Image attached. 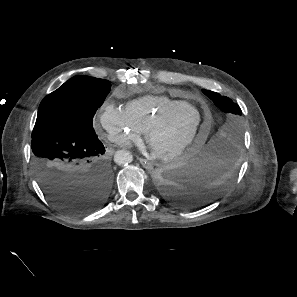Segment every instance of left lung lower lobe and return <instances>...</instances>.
<instances>
[{
    "label": "left lung lower lobe",
    "instance_id": "1",
    "mask_svg": "<svg viewBox=\"0 0 297 297\" xmlns=\"http://www.w3.org/2000/svg\"><path fill=\"white\" fill-rule=\"evenodd\" d=\"M237 157V149L209 140L155 173V182L160 194L173 205L200 207L213 202L230 187Z\"/></svg>",
    "mask_w": 297,
    "mask_h": 297
}]
</instances>
